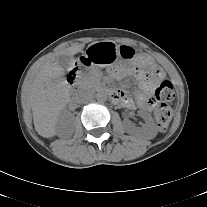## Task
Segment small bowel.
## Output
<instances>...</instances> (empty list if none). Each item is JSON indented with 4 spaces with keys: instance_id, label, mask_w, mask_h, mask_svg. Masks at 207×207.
<instances>
[{
    "instance_id": "obj_1",
    "label": "small bowel",
    "mask_w": 207,
    "mask_h": 207,
    "mask_svg": "<svg viewBox=\"0 0 207 207\" xmlns=\"http://www.w3.org/2000/svg\"><path fill=\"white\" fill-rule=\"evenodd\" d=\"M127 73H132L136 77L139 84V91L136 94L135 100L130 98V96L120 90L115 91L116 98L115 101L126 108L133 109L139 107L145 110H151L154 106L152 100V94L156 85L165 77L164 72L158 68L154 73H147L142 69L134 68L130 71H125L122 69H113L110 74L114 79H121Z\"/></svg>"
}]
</instances>
